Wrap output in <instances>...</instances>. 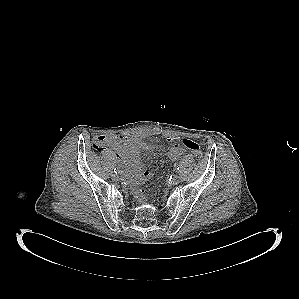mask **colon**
I'll return each mask as SVG.
<instances>
[{"mask_svg":"<svg viewBox=\"0 0 299 299\" xmlns=\"http://www.w3.org/2000/svg\"><path fill=\"white\" fill-rule=\"evenodd\" d=\"M108 137L109 136H104V135L97 137L93 144L94 149L97 151L103 150L106 146ZM182 145L186 149H188L196 159H198V160L202 159L203 152H202L200 146L196 142H194L193 140H190V139H183Z\"/></svg>","mask_w":299,"mask_h":299,"instance_id":"obj_1","label":"colon"}]
</instances>
